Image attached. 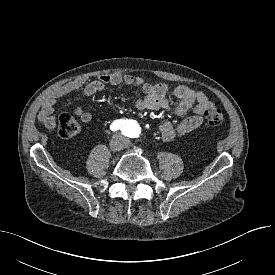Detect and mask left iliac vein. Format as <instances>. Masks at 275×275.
Here are the masks:
<instances>
[{
    "label": "left iliac vein",
    "instance_id": "4c4485c4",
    "mask_svg": "<svg viewBox=\"0 0 275 275\" xmlns=\"http://www.w3.org/2000/svg\"><path fill=\"white\" fill-rule=\"evenodd\" d=\"M129 146H131V144L130 143H125V147L127 148V147H129ZM135 147V146H134Z\"/></svg>",
    "mask_w": 275,
    "mask_h": 275
}]
</instances>
